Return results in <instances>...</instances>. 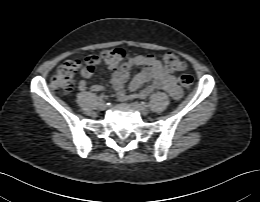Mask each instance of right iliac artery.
Here are the masks:
<instances>
[{"label":"right iliac artery","instance_id":"1","mask_svg":"<svg viewBox=\"0 0 260 202\" xmlns=\"http://www.w3.org/2000/svg\"><path fill=\"white\" fill-rule=\"evenodd\" d=\"M103 99H104V97H103V96H100V97H99V100H100V101H102Z\"/></svg>","mask_w":260,"mask_h":202}]
</instances>
